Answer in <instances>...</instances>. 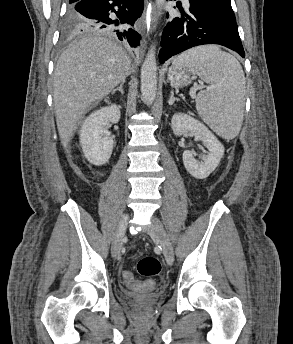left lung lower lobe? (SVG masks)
Listing matches in <instances>:
<instances>
[{"label":"left lung lower lobe","instance_id":"1","mask_svg":"<svg viewBox=\"0 0 293 344\" xmlns=\"http://www.w3.org/2000/svg\"><path fill=\"white\" fill-rule=\"evenodd\" d=\"M177 7L181 17L169 22L162 35L161 63L191 47L204 44L223 45L245 57L238 27L233 21L202 0H189L187 13L181 4Z\"/></svg>","mask_w":293,"mask_h":344}]
</instances>
